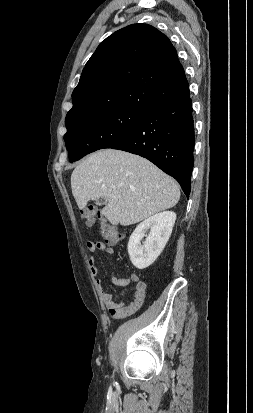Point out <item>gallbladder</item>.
<instances>
[{
	"label": "gallbladder",
	"instance_id": "obj_1",
	"mask_svg": "<svg viewBox=\"0 0 253 413\" xmlns=\"http://www.w3.org/2000/svg\"><path fill=\"white\" fill-rule=\"evenodd\" d=\"M96 205H103V204H106V200L105 199H98V200H96Z\"/></svg>",
	"mask_w": 253,
	"mask_h": 413
}]
</instances>
